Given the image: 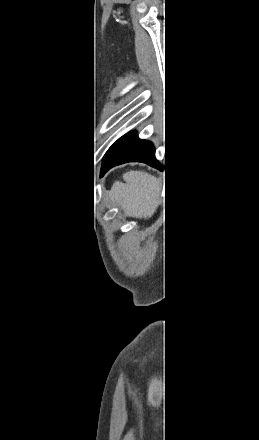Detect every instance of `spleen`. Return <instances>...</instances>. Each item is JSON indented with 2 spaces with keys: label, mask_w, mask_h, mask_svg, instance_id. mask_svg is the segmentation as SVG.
<instances>
[{
  "label": "spleen",
  "mask_w": 259,
  "mask_h": 440,
  "mask_svg": "<svg viewBox=\"0 0 259 440\" xmlns=\"http://www.w3.org/2000/svg\"><path fill=\"white\" fill-rule=\"evenodd\" d=\"M123 180L125 183L116 181L105 198L120 205L131 217H150L160 203V178L144 171H129Z\"/></svg>",
  "instance_id": "obj_1"
}]
</instances>
